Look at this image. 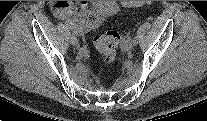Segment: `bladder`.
<instances>
[{
    "label": "bladder",
    "instance_id": "1",
    "mask_svg": "<svg viewBox=\"0 0 207 121\" xmlns=\"http://www.w3.org/2000/svg\"><path fill=\"white\" fill-rule=\"evenodd\" d=\"M116 10V3L112 1H105L99 5V13L102 16H108Z\"/></svg>",
    "mask_w": 207,
    "mask_h": 121
}]
</instances>
